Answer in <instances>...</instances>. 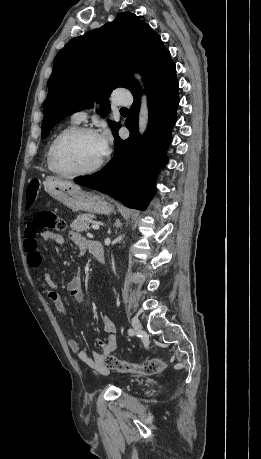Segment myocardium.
Segmentation results:
<instances>
[{
    "mask_svg": "<svg viewBox=\"0 0 261 459\" xmlns=\"http://www.w3.org/2000/svg\"><path fill=\"white\" fill-rule=\"evenodd\" d=\"M96 135L98 136L97 132L90 128V127H73L69 130L64 131L61 133L53 142L51 150H50V165L53 169L54 173L63 176V177H80L86 176L96 173L101 169L107 159V152L104 153L102 158L92 167L80 171H65L62 170L57 164V153L60 145L67 139L78 136V135Z\"/></svg>",
    "mask_w": 261,
    "mask_h": 459,
    "instance_id": "myocardium-1",
    "label": "myocardium"
}]
</instances>
